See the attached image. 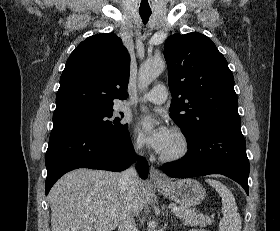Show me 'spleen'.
I'll use <instances>...</instances> for the list:
<instances>
[{
	"label": "spleen",
	"instance_id": "spleen-1",
	"mask_svg": "<svg viewBox=\"0 0 280 231\" xmlns=\"http://www.w3.org/2000/svg\"><path fill=\"white\" fill-rule=\"evenodd\" d=\"M206 181L213 185L222 197L223 217L219 223L220 231H241L242 219L237 211L233 193L221 181H217V179H206Z\"/></svg>",
	"mask_w": 280,
	"mask_h": 231
}]
</instances>
